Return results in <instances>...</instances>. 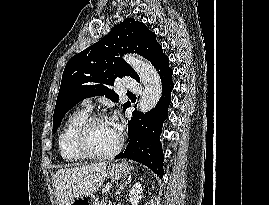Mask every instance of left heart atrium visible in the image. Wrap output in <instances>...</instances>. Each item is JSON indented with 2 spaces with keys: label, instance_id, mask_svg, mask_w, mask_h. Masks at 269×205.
<instances>
[{
  "label": "left heart atrium",
  "instance_id": "1",
  "mask_svg": "<svg viewBox=\"0 0 269 205\" xmlns=\"http://www.w3.org/2000/svg\"><path fill=\"white\" fill-rule=\"evenodd\" d=\"M109 124L111 125V127L115 130V132L120 135L121 132V125L119 123L118 117L116 114L110 116L108 119Z\"/></svg>",
  "mask_w": 269,
  "mask_h": 205
}]
</instances>
